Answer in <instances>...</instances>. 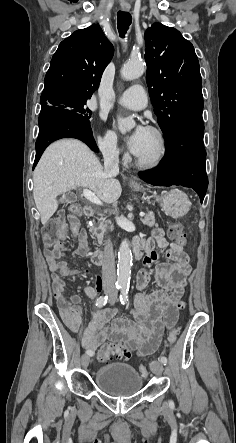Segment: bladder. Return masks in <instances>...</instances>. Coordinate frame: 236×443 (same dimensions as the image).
Instances as JSON below:
<instances>
[{
	"label": "bladder",
	"instance_id": "obj_1",
	"mask_svg": "<svg viewBox=\"0 0 236 443\" xmlns=\"http://www.w3.org/2000/svg\"><path fill=\"white\" fill-rule=\"evenodd\" d=\"M97 387L113 397H127L137 393L143 383V377L136 369L124 363H107L95 373Z\"/></svg>",
	"mask_w": 236,
	"mask_h": 443
}]
</instances>
